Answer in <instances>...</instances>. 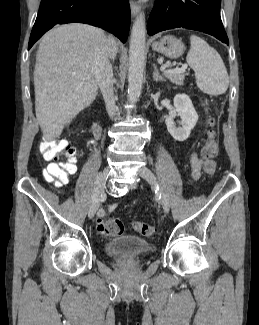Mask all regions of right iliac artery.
<instances>
[{
    "label": "right iliac artery",
    "instance_id": "obj_1",
    "mask_svg": "<svg viewBox=\"0 0 259 325\" xmlns=\"http://www.w3.org/2000/svg\"><path fill=\"white\" fill-rule=\"evenodd\" d=\"M98 176H99V175H98ZM98 176L96 177V180H95V182L93 183V186H92V187H93V189H92V190H93V191H92V192H93V193H92V199H93V198L96 196V194H98V192H99V191H98V190H99L98 187H99L100 180L98 179V178H99Z\"/></svg>",
    "mask_w": 259,
    "mask_h": 325
}]
</instances>
